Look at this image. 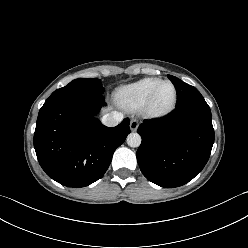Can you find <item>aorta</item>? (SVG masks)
Listing matches in <instances>:
<instances>
[{"label":"aorta","instance_id":"aorta-1","mask_svg":"<svg viewBox=\"0 0 248 248\" xmlns=\"http://www.w3.org/2000/svg\"><path fill=\"white\" fill-rule=\"evenodd\" d=\"M126 140L130 147H139L142 141L141 136L138 133H130Z\"/></svg>","mask_w":248,"mask_h":248}]
</instances>
